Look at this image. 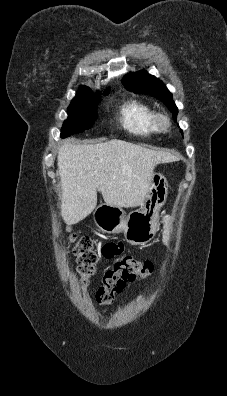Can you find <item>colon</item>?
Here are the masks:
<instances>
[{
	"mask_svg": "<svg viewBox=\"0 0 227 396\" xmlns=\"http://www.w3.org/2000/svg\"><path fill=\"white\" fill-rule=\"evenodd\" d=\"M70 242L78 260L81 283L86 286L90 277L94 274L98 252L94 249L93 242L89 237L73 235ZM152 272L153 264L150 261L125 256L104 273L102 285L96 292V302L102 306L110 305L115 296L123 291L127 283L137 279H145Z\"/></svg>",
	"mask_w": 227,
	"mask_h": 396,
	"instance_id": "obj_1",
	"label": "colon"
}]
</instances>
